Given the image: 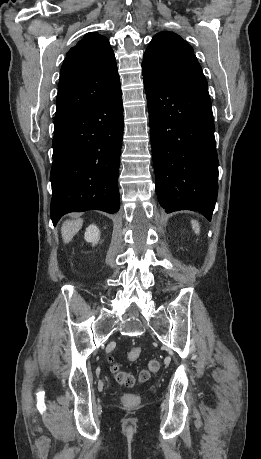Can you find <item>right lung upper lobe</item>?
<instances>
[{"label":"right lung upper lobe","mask_w":261,"mask_h":459,"mask_svg":"<svg viewBox=\"0 0 261 459\" xmlns=\"http://www.w3.org/2000/svg\"><path fill=\"white\" fill-rule=\"evenodd\" d=\"M120 86L116 60L106 37L88 33L64 59L54 123L98 104Z\"/></svg>","instance_id":"cb5924a9"}]
</instances>
